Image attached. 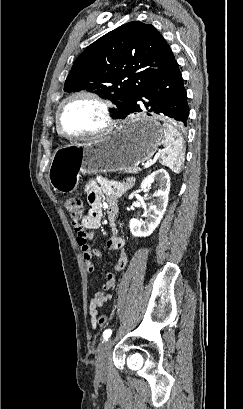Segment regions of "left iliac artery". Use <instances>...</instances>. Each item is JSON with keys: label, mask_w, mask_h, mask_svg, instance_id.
I'll return each instance as SVG.
<instances>
[{"label": "left iliac artery", "mask_w": 243, "mask_h": 409, "mask_svg": "<svg viewBox=\"0 0 243 409\" xmlns=\"http://www.w3.org/2000/svg\"><path fill=\"white\" fill-rule=\"evenodd\" d=\"M111 334H112V330H111V329L105 330L104 333H103V339H104V341H105V340L107 341V340L110 338Z\"/></svg>", "instance_id": "44dca946"}]
</instances>
